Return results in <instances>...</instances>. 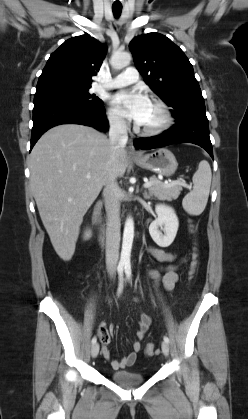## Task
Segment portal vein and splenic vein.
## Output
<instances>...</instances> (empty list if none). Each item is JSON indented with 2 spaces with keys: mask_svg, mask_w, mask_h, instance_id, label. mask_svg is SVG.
I'll return each instance as SVG.
<instances>
[{
  "mask_svg": "<svg viewBox=\"0 0 248 419\" xmlns=\"http://www.w3.org/2000/svg\"><path fill=\"white\" fill-rule=\"evenodd\" d=\"M87 178H90V176H87ZM154 184V182H152V181H146L144 184H143V186H144V188H149V187H151L152 185ZM165 184H180V185H183V186H185L186 188H190V186L188 185V184H186V182H172V183H168V182H165Z\"/></svg>",
  "mask_w": 248,
  "mask_h": 419,
  "instance_id": "obj_1",
  "label": "portal vein and splenic vein"
}]
</instances>
